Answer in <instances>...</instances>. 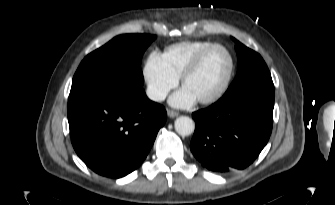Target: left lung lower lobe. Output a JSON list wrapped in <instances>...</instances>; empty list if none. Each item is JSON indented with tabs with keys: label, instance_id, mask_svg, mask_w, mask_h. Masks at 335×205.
I'll return each mask as SVG.
<instances>
[{
	"label": "left lung lower lobe",
	"instance_id": "obj_1",
	"mask_svg": "<svg viewBox=\"0 0 335 205\" xmlns=\"http://www.w3.org/2000/svg\"><path fill=\"white\" fill-rule=\"evenodd\" d=\"M274 95L242 90L192 114L196 129L190 143L195 158L214 172L249 166L267 144L272 131Z\"/></svg>",
	"mask_w": 335,
	"mask_h": 205
}]
</instances>
